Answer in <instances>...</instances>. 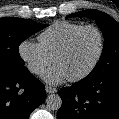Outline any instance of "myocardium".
Instances as JSON below:
<instances>
[{
    "label": "myocardium",
    "instance_id": "1",
    "mask_svg": "<svg viewBox=\"0 0 119 119\" xmlns=\"http://www.w3.org/2000/svg\"><path fill=\"white\" fill-rule=\"evenodd\" d=\"M86 30H94L99 37V50L98 53L95 57V59L93 60V62L90 64V66L81 74L74 76V77H70L68 78V80L70 82H79L85 78H87L94 70L95 68L98 66L103 53H104V49H105V39H104V35L103 32L94 25H83L82 27H80L79 29H77L75 32H73L71 34V36L67 39V41L64 43V45L57 51V53L55 54V56L53 57V63L56 64V61L63 56L64 54H66L70 48L72 47L74 41L76 40V38L84 31Z\"/></svg>",
    "mask_w": 119,
    "mask_h": 119
}]
</instances>
